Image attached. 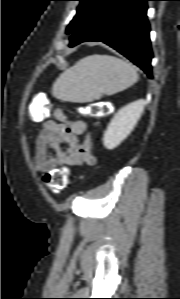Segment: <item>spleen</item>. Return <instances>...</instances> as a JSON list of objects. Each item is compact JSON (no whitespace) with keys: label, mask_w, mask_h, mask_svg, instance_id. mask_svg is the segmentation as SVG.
Segmentation results:
<instances>
[{"label":"spleen","mask_w":180,"mask_h":299,"mask_svg":"<svg viewBox=\"0 0 180 299\" xmlns=\"http://www.w3.org/2000/svg\"><path fill=\"white\" fill-rule=\"evenodd\" d=\"M137 80V71L129 62L94 54L61 73L52 87V95L61 101L91 102L123 91Z\"/></svg>","instance_id":"1"}]
</instances>
